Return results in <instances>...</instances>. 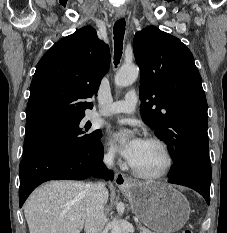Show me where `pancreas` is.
Returning <instances> with one entry per match:
<instances>
[{
  "label": "pancreas",
  "instance_id": "1",
  "mask_svg": "<svg viewBox=\"0 0 227 233\" xmlns=\"http://www.w3.org/2000/svg\"><path fill=\"white\" fill-rule=\"evenodd\" d=\"M138 229L143 230V233H152V232H149L146 229L142 228L141 226H139Z\"/></svg>",
  "mask_w": 227,
  "mask_h": 233
}]
</instances>
